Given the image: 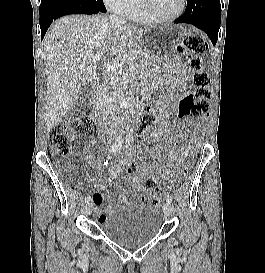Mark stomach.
Segmentation results:
<instances>
[{
	"label": "stomach",
	"mask_w": 265,
	"mask_h": 273,
	"mask_svg": "<svg viewBox=\"0 0 265 273\" xmlns=\"http://www.w3.org/2000/svg\"><path fill=\"white\" fill-rule=\"evenodd\" d=\"M189 25H157V28H147L138 36L137 44H128V49H144L141 55H136L141 69H162V64H172L170 56H176V49L182 35H187Z\"/></svg>",
	"instance_id": "0dacf381"
}]
</instances>
